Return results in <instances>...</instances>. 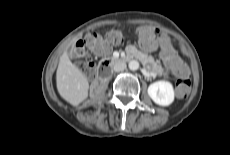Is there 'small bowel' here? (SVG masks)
<instances>
[{
    "instance_id": "c3829d8e",
    "label": "small bowel",
    "mask_w": 230,
    "mask_h": 155,
    "mask_svg": "<svg viewBox=\"0 0 230 155\" xmlns=\"http://www.w3.org/2000/svg\"><path fill=\"white\" fill-rule=\"evenodd\" d=\"M142 47L151 51L158 46L162 50V56L167 67L176 73L182 65L177 57V48L173 45V39L167 33L155 25H148L139 31ZM130 51H134V47H129Z\"/></svg>"
}]
</instances>
